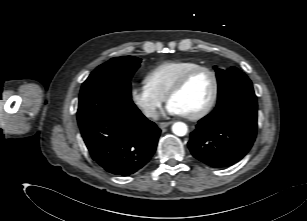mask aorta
<instances>
[{
  "instance_id": "aorta-1",
  "label": "aorta",
  "mask_w": 307,
  "mask_h": 221,
  "mask_svg": "<svg viewBox=\"0 0 307 221\" xmlns=\"http://www.w3.org/2000/svg\"><path fill=\"white\" fill-rule=\"evenodd\" d=\"M187 131V125L183 122H176L172 125V132L177 136H184Z\"/></svg>"
}]
</instances>
